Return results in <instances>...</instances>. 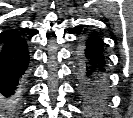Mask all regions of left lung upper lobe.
Wrapping results in <instances>:
<instances>
[{
    "mask_svg": "<svg viewBox=\"0 0 133 118\" xmlns=\"http://www.w3.org/2000/svg\"><path fill=\"white\" fill-rule=\"evenodd\" d=\"M80 95L85 107L89 111H97L105 107L108 103V98L95 93L90 89L80 87Z\"/></svg>",
    "mask_w": 133,
    "mask_h": 118,
    "instance_id": "1",
    "label": "left lung upper lobe"
}]
</instances>
